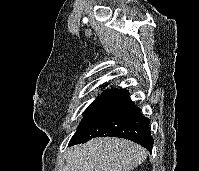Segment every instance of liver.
Listing matches in <instances>:
<instances>
[{"label":"liver","instance_id":"liver-1","mask_svg":"<svg viewBox=\"0 0 199 171\" xmlns=\"http://www.w3.org/2000/svg\"><path fill=\"white\" fill-rule=\"evenodd\" d=\"M146 157L147 151L132 141L95 138L67 151L66 171H132Z\"/></svg>","mask_w":199,"mask_h":171}]
</instances>
